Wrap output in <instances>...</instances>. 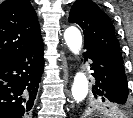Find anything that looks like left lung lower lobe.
Wrapping results in <instances>:
<instances>
[{
	"label": "left lung lower lobe",
	"mask_w": 133,
	"mask_h": 118,
	"mask_svg": "<svg viewBox=\"0 0 133 118\" xmlns=\"http://www.w3.org/2000/svg\"><path fill=\"white\" fill-rule=\"evenodd\" d=\"M84 58L90 59V69L96 80L93 87L95 97L103 99L116 110L126 109L128 105V85L123 64L109 57L93 45H85Z\"/></svg>",
	"instance_id": "obj_1"
}]
</instances>
